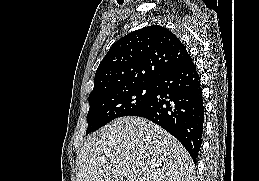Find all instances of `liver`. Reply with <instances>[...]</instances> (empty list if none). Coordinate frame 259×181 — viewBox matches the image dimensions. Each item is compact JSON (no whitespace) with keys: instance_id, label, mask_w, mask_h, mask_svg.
Masks as SVG:
<instances>
[{"instance_id":"1","label":"liver","mask_w":259,"mask_h":181,"mask_svg":"<svg viewBox=\"0 0 259 181\" xmlns=\"http://www.w3.org/2000/svg\"><path fill=\"white\" fill-rule=\"evenodd\" d=\"M193 173V161L176 138L144 118L127 116L87 139L76 181H193Z\"/></svg>"}]
</instances>
